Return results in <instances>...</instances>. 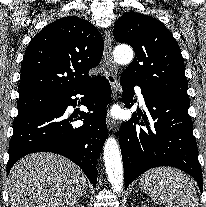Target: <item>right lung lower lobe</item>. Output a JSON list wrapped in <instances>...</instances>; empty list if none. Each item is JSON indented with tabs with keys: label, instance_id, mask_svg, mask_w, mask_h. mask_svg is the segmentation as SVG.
I'll use <instances>...</instances> for the list:
<instances>
[{
	"label": "right lung lower lobe",
	"instance_id": "98d812e1",
	"mask_svg": "<svg viewBox=\"0 0 206 207\" xmlns=\"http://www.w3.org/2000/svg\"><path fill=\"white\" fill-rule=\"evenodd\" d=\"M85 94L82 104L92 113L68 115V106L77 104L72 96ZM58 105L17 116L9 144L7 174L23 156L35 152H53L75 162L93 186L97 181L96 163L107 138L106 106L111 87L104 77L56 94ZM83 120L80 127L70 122Z\"/></svg>",
	"mask_w": 206,
	"mask_h": 207
}]
</instances>
